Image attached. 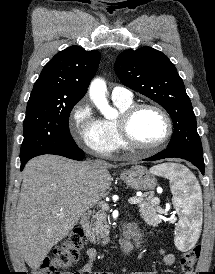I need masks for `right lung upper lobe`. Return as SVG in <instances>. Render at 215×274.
Wrapping results in <instances>:
<instances>
[{
    "instance_id": "right-lung-upper-lobe-1",
    "label": "right lung upper lobe",
    "mask_w": 215,
    "mask_h": 274,
    "mask_svg": "<svg viewBox=\"0 0 215 274\" xmlns=\"http://www.w3.org/2000/svg\"><path fill=\"white\" fill-rule=\"evenodd\" d=\"M100 61L97 50L71 46L57 53L43 68L28 102H78L87 92Z\"/></svg>"
}]
</instances>
